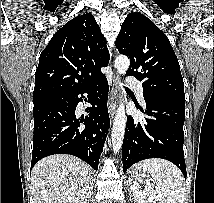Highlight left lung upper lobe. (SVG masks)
<instances>
[{"instance_id":"obj_1","label":"left lung upper lobe","mask_w":214,"mask_h":203,"mask_svg":"<svg viewBox=\"0 0 214 203\" xmlns=\"http://www.w3.org/2000/svg\"><path fill=\"white\" fill-rule=\"evenodd\" d=\"M116 47L130 58L127 75L142 81L144 97L185 102L178 59L167 36L149 18L129 13L117 36Z\"/></svg>"}]
</instances>
